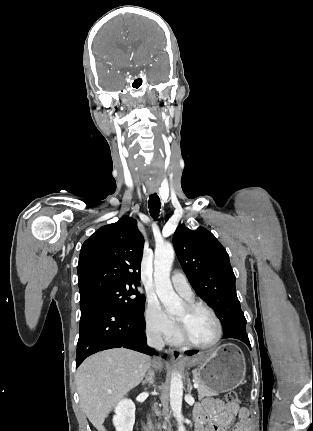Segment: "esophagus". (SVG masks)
Segmentation results:
<instances>
[{
	"instance_id": "esophagus-1",
	"label": "esophagus",
	"mask_w": 313,
	"mask_h": 431,
	"mask_svg": "<svg viewBox=\"0 0 313 431\" xmlns=\"http://www.w3.org/2000/svg\"><path fill=\"white\" fill-rule=\"evenodd\" d=\"M149 192H150V193H154V192H155V189H150V190H149ZM170 354H171V358H172L173 360H178V359H181V358H182V354H181V351H180V350H177V349H171V350H170Z\"/></svg>"
}]
</instances>
